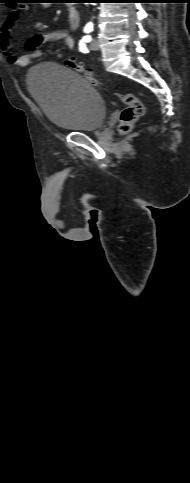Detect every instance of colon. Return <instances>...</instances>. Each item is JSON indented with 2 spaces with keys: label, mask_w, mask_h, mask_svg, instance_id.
<instances>
[{
  "label": "colon",
  "mask_w": 190,
  "mask_h": 483,
  "mask_svg": "<svg viewBox=\"0 0 190 483\" xmlns=\"http://www.w3.org/2000/svg\"><path fill=\"white\" fill-rule=\"evenodd\" d=\"M64 64L67 67L84 74L86 79L91 84L95 86L100 84L99 80L92 73V71L86 69L82 64L77 63L74 59L67 58L64 60ZM117 96L125 105L120 115L119 130L122 133H126L132 129L135 122L143 115L144 106L140 99L133 94H118Z\"/></svg>",
  "instance_id": "1"
}]
</instances>
